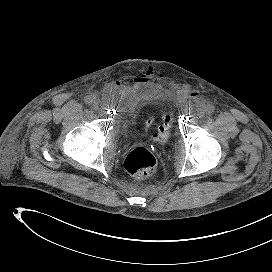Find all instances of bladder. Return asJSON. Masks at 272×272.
Wrapping results in <instances>:
<instances>
[{
    "instance_id": "obj_1",
    "label": "bladder",
    "mask_w": 272,
    "mask_h": 272,
    "mask_svg": "<svg viewBox=\"0 0 272 272\" xmlns=\"http://www.w3.org/2000/svg\"><path fill=\"white\" fill-rule=\"evenodd\" d=\"M123 125H124L125 131L127 133L131 132V128H132V120H131V118H126L124 120V124Z\"/></svg>"
}]
</instances>
